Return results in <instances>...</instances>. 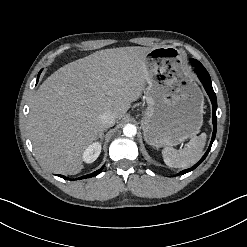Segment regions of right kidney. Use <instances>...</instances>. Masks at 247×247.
Returning <instances> with one entry per match:
<instances>
[{
	"label": "right kidney",
	"mask_w": 247,
	"mask_h": 247,
	"mask_svg": "<svg viewBox=\"0 0 247 247\" xmlns=\"http://www.w3.org/2000/svg\"><path fill=\"white\" fill-rule=\"evenodd\" d=\"M101 152V144L98 142L90 144L83 153L82 159L86 163L94 162Z\"/></svg>",
	"instance_id": "right-kidney-1"
}]
</instances>
